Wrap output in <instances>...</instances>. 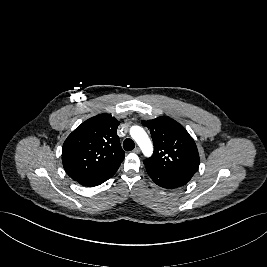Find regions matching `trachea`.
I'll return each mask as SVG.
<instances>
[{"mask_svg":"<svg viewBox=\"0 0 267 267\" xmlns=\"http://www.w3.org/2000/svg\"><path fill=\"white\" fill-rule=\"evenodd\" d=\"M135 147V143L132 139L130 138H127L124 140L123 142V148L126 150V151H131L133 150Z\"/></svg>","mask_w":267,"mask_h":267,"instance_id":"3493384b","label":"trachea"}]
</instances>
